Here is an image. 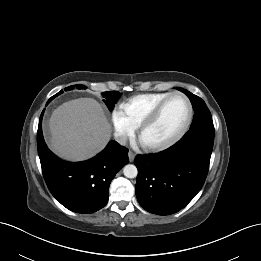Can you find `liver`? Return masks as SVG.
Returning <instances> with one entry per match:
<instances>
[{
    "label": "liver",
    "instance_id": "1",
    "mask_svg": "<svg viewBox=\"0 0 261 261\" xmlns=\"http://www.w3.org/2000/svg\"><path fill=\"white\" fill-rule=\"evenodd\" d=\"M51 148L59 156L82 161L99 153L111 137V126L101 105L92 98L63 103L50 118Z\"/></svg>",
    "mask_w": 261,
    "mask_h": 261
}]
</instances>
